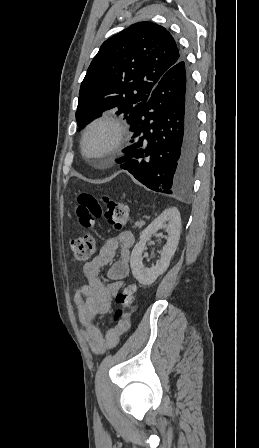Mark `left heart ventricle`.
<instances>
[{"mask_svg":"<svg viewBox=\"0 0 259 448\" xmlns=\"http://www.w3.org/2000/svg\"><path fill=\"white\" fill-rule=\"evenodd\" d=\"M110 137V132L106 128H95L89 134L86 141L87 156L89 161H100L102 159V148Z\"/></svg>","mask_w":259,"mask_h":448,"instance_id":"1","label":"left heart ventricle"}]
</instances>
